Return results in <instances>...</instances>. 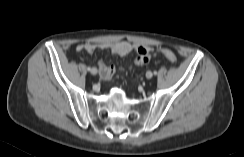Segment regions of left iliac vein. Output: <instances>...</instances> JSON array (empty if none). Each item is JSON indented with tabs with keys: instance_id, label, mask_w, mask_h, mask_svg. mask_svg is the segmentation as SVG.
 Wrapping results in <instances>:
<instances>
[{
	"instance_id": "1",
	"label": "left iliac vein",
	"mask_w": 244,
	"mask_h": 157,
	"mask_svg": "<svg viewBox=\"0 0 244 157\" xmlns=\"http://www.w3.org/2000/svg\"><path fill=\"white\" fill-rule=\"evenodd\" d=\"M152 76H153V73H152L151 71H148V72L146 73V77H147L148 79H151Z\"/></svg>"
}]
</instances>
